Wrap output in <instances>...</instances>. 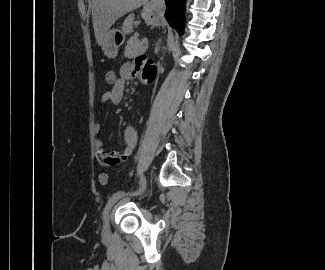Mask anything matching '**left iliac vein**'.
Here are the masks:
<instances>
[{"mask_svg":"<svg viewBox=\"0 0 325 270\" xmlns=\"http://www.w3.org/2000/svg\"><path fill=\"white\" fill-rule=\"evenodd\" d=\"M110 218H111V212L106 215L104 220L103 230H102L104 235L110 234Z\"/></svg>","mask_w":325,"mask_h":270,"instance_id":"1","label":"left iliac vein"}]
</instances>
